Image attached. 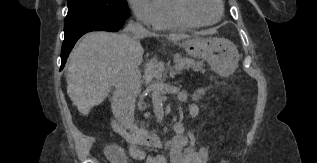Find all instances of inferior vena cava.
I'll list each match as a JSON object with an SVG mask.
<instances>
[{"label":"inferior vena cava","mask_w":317,"mask_h":163,"mask_svg":"<svg viewBox=\"0 0 317 163\" xmlns=\"http://www.w3.org/2000/svg\"><path fill=\"white\" fill-rule=\"evenodd\" d=\"M124 32L135 37H145L149 32L139 23H129ZM140 85V73L136 64L120 70L114 82L115 90L111 99L113 114L118 121L131 132L137 130L134 123L135 100Z\"/></svg>","instance_id":"obj_1"}]
</instances>
